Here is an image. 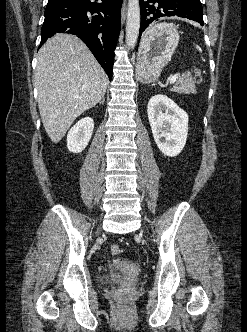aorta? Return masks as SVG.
I'll list each match as a JSON object with an SVG mask.
<instances>
[{
  "label": "aorta",
  "mask_w": 247,
  "mask_h": 332,
  "mask_svg": "<svg viewBox=\"0 0 247 332\" xmlns=\"http://www.w3.org/2000/svg\"><path fill=\"white\" fill-rule=\"evenodd\" d=\"M140 28V6L139 0H128L126 44L133 48L137 42Z\"/></svg>",
  "instance_id": "762f6f07"
}]
</instances>
